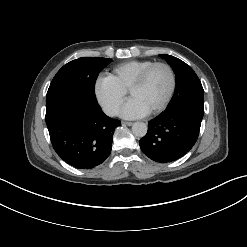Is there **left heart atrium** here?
Here are the masks:
<instances>
[{
    "instance_id": "1",
    "label": "left heart atrium",
    "mask_w": 247,
    "mask_h": 247,
    "mask_svg": "<svg viewBox=\"0 0 247 247\" xmlns=\"http://www.w3.org/2000/svg\"><path fill=\"white\" fill-rule=\"evenodd\" d=\"M119 114L125 118H137L145 116L148 114V111L136 99H130L121 107Z\"/></svg>"
}]
</instances>
